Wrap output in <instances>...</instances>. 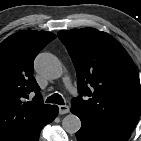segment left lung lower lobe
Wrapping results in <instances>:
<instances>
[{
    "mask_svg": "<svg viewBox=\"0 0 141 141\" xmlns=\"http://www.w3.org/2000/svg\"><path fill=\"white\" fill-rule=\"evenodd\" d=\"M82 123L81 129L76 133L78 141H128L131 133L106 127L80 109L71 108Z\"/></svg>",
    "mask_w": 141,
    "mask_h": 141,
    "instance_id": "0a47b994",
    "label": "left lung lower lobe"
}]
</instances>
